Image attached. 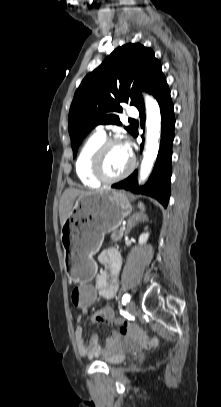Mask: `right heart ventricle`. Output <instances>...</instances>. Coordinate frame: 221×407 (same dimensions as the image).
Returning a JSON list of instances; mask_svg holds the SVG:
<instances>
[{
    "mask_svg": "<svg viewBox=\"0 0 221 407\" xmlns=\"http://www.w3.org/2000/svg\"><path fill=\"white\" fill-rule=\"evenodd\" d=\"M105 140V135L94 133L81 146L75 162V170L79 181L87 187H98L100 182L97 181L91 174L90 163L91 158Z\"/></svg>",
    "mask_w": 221,
    "mask_h": 407,
    "instance_id": "1",
    "label": "right heart ventricle"
}]
</instances>
